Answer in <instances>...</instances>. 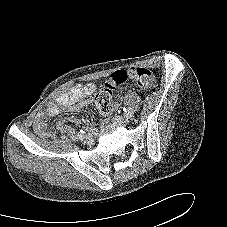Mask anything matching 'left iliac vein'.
<instances>
[{"instance_id": "left-iliac-vein-1", "label": "left iliac vein", "mask_w": 227, "mask_h": 227, "mask_svg": "<svg viewBox=\"0 0 227 227\" xmlns=\"http://www.w3.org/2000/svg\"><path fill=\"white\" fill-rule=\"evenodd\" d=\"M131 117L132 116H115L113 118V121L120 125H126L127 123H129Z\"/></svg>"}]
</instances>
